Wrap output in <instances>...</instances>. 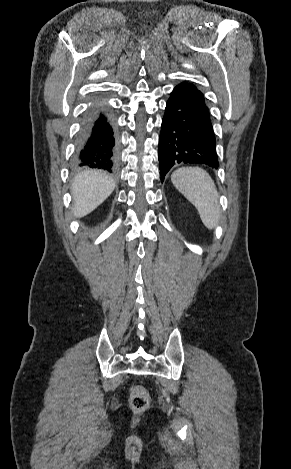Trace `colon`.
I'll return each mask as SVG.
<instances>
[{
    "mask_svg": "<svg viewBox=\"0 0 291 469\" xmlns=\"http://www.w3.org/2000/svg\"><path fill=\"white\" fill-rule=\"evenodd\" d=\"M150 397L147 390L139 385L130 389V405L135 410H143L149 405Z\"/></svg>",
    "mask_w": 291,
    "mask_h": 469,
    "instance_id": "obj_1",
    "label": "colon"
}]
</instances>
